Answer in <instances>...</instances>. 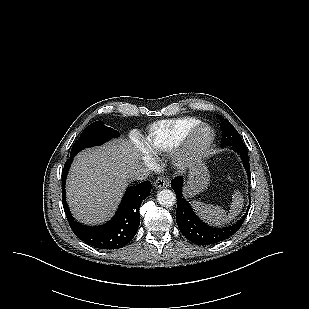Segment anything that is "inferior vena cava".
I'll return each mask as SVG.
<instances>
[{
  "instance_id": "inferior-vena-cava-1",
  "label": "inferior vena cava",
  "mask_w": 309,
  "mask_h": 309,
  "mask_svg": "<svg viewBox=\"0 0 309 309\" xmlns=\"http://www.w3.org/2000/svg\"><path fill=\"white\" fill-rule=\"evenodd\" d=\"M149 175V170L141 165L130 170L128 177L133 180H145Z\"/></svg>"
}]
</instances>
